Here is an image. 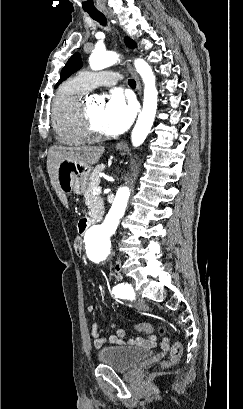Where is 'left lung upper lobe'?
Returning <instances> with one entry per match:
<instances>
[{
	"label": "left lung upper lobe",
	"mask_w": 243,
	"mask_h": 409,
	"mask_svg": "<svg viewBox=\"0 0 243 409\" xmlns=\"http://www.w3.org/2000/svg\"><path fill=\"white\" fill-rule=\"evenodd\" d=\"M125 43L130 48L136 47L135 43L129 38L125 39ZM81 67H82V60H81L80 54L76 53L72 55L71 58L66 63V65L64 66V68L62 69L61 74H60V79L57 82L56 86H58L63 80L69 77L72 73L79 70Z\"/></svg>",
	"instance_id": "obj_1"
}]
</instances>
